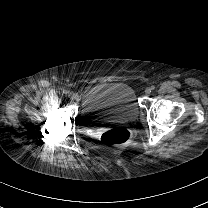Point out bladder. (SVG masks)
I'll use <instances>...</instances> for the list:
<instances>
[{"mask_svg":"<svg viewBox=\"0 0 208 208\" xmlns=\"http://www.w3.org/2000/svg\"><path fill=\"white\" fill-rule=\"evenodd\" d=\"M88 106L84 120L97 123L120 118L134 119L138 114V105L132 89L124 84L109 83L96 85L85 92Z\"/></svg>","mask_w":208,"mask_h":208,"instance_id":"31cf9c89","label":"bladder"}]
</instances>
